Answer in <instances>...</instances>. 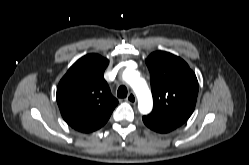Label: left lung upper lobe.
Masks as SVG:
<instances>
[{
    "label": "left lung upper lobe",
    "instance_id": "obj_1",
    "mask_svg": "<svg viewBox=\"0 0 249 165\" xmlns=\"http://www.w3.org/2000/svg\"><path fill=\"white\" fill-rule=\"evenodd\" d=\"M146 64L154 100L153 110L147 117L181 126L196 105V75L184 60L164 51L150 54Z\"/></svg>",
    "mask_w": 249,
    "mask_h": 165
}]
</instances>
